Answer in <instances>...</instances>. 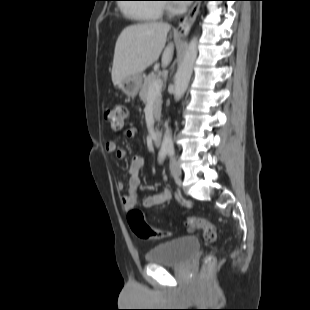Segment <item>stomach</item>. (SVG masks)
Returning a JSON list of instances; mask_svg holds the SVG:
<instances>
[{"label":"stomach","instance_id":"0dacf381","mask_svg":"<svg viewBox=\"0 0 310 310\" xmlns=\"http://www.w3.org/2000/svg\"><path fill=\"white\" fill-rule=\"evenodd\" d=\"M140 76H129L115 83V87L125 93L128 97H135L141 87Z\"/></svg>","mask_w":310,"mask_h":310}]
</instances>
